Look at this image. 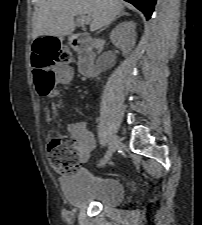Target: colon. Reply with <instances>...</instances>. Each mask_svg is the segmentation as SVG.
Wrapping results in <instances>:
<instances>
[{
  "instance_id": "1",
  "label": "colon",
  "mask_w": 202,
  "mask_h": 225,
  "mask_svg": "<svg viewBox=\"0 0 202 225\" xmlns=\"http://www.w3.org/2000/svg\"><path fill=\"white\" fill-rule=\"evenodd\" d=\"M31 52L33 55L34 81L41 97H53L56 92L54 80L57 75L64 76L61 70L56 73L53 67H63L70 61L68 51L58 46L53 38L36 41ZM47 158L50 166L62 175L73 173L79 168L78 149L73 140L57 137L48 146Z\"/></svg>"
}]
</instances>
